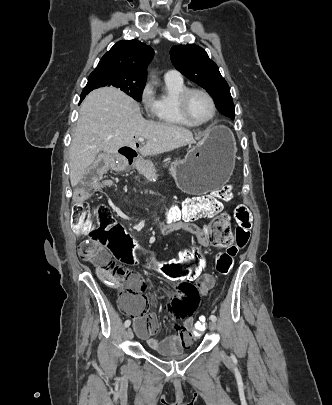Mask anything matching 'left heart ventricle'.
Returning <instances> with one entry per match:
<instances>
[{
  "instance_id": "obj_1",
  "label": "left heart ventricle",
  "mask_w": 332,
  "mask_h": 405,
  "mask_svg": "<svg viewBox=\"0 0 332 405\" xmlns=\"http://www.w3.org/2000/svg\"><path fill=\"white\" fill-rule=\"evenodd\" d=\"M188 112L195 121H204L212 113V105L209 99L201 93H193L188 99Z\"/></svg>"
}]
</instances>
